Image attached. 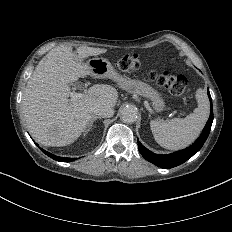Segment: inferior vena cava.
<instances>
[{
    "label": "inferior vena cava",
    "mask_w": 232,
    "mask_h": 232,
    "mask_svg": "<svg viewBox=\"0 0 232 232\" xmlns=\"http://www.w3.org/2000/svg\"><path fill=\"white\" fill-rule=\"evenodd\" d=\"M93 112L94 114L105 118H110L114 115V110L109 105H97L94 107Z\"/></svg>",
    "instance_id": "1"
}]
</instances>
